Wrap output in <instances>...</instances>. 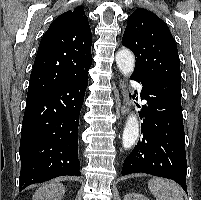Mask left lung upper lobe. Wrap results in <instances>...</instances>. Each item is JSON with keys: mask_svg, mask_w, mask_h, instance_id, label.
<instances>
[{"mask_svg": "<svg viewBox=\"0 0 201 200\" xmlns=\"http://www.w3.org/2000/svg\"><path fill=\"white\" fill-rule=\"evenodd\" d=\"M122 44L135 55L133 76L142 80H181L175 40L166 23L153 12L143 8L134 11L128 19Z\"/></svg>", "mask_w": 201, "mask_h": 200, "instance_id": "obj_1", "label": "left lung upper lobe"}]
</instances>
